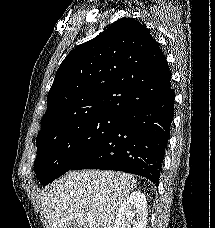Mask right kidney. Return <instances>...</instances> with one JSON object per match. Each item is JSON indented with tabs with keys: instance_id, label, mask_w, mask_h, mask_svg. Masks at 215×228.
I'll return each instance as SVG.
<instances>
[{
	"instance_id": "ca27d5eb",
	"label": "right kidney",
	"mask_w": 215,
	"mask_h": 228,
	"mask_svg": "<svg viewBox=\"0 0 215 228\" xmlns=\"http://www.w3.org/2000/svg\"><path fill=\"white\" fill-rule=\"evenodd\" d=\"M148 218L146 196L135 190L123 200L113 228H146Z\"/></svg>"
}]
</instances>
